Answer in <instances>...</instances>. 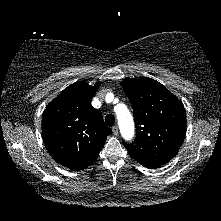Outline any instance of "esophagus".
<instances>
[{"label": "esophagus", "instance_id": "1", "mask_svg": "<svg viewBox=\"0 0 221 221\" xmlns=\"http://www.w3.org/2000/svg\"><path fill=\"white\" fill-rule=\"evenodd\" d=\"M112 131H113V134H114V135H117V134L119 133L118 126H116V125L113 126V127H112Z\"/></svg>", "mask_w": 221, "mask_h": 221}]
</instances>
